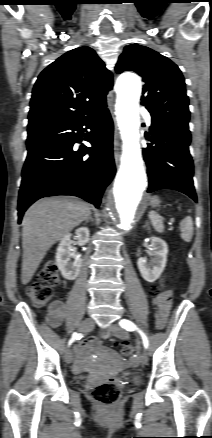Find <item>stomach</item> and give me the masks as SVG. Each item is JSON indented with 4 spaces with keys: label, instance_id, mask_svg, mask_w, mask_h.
I'll return each instance as SVG.
<instances>
[{
    "label": "stomach",
    "instance_id": "0dacf381",
    "mask_svg": "<svg viewBox=\"0 0 212 438\" xmlns=\"http://www.w3.org/2000/svg\"><path fill=\"white\" fill-rule=\"evenodd\" d=\"M150 204L152 207H157L160 204V199L157 196H153L150 198Z\"/></svg>",
    "mask_w": 212,
    "mask_h": 438
}]
</instances>
